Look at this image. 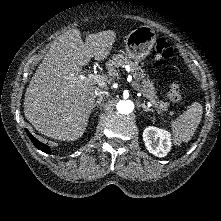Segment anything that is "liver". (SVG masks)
<instances>
[{"label":"liver","instance_id":"1","mask_svg":"<svg viewBox=\"0 0 221 221\" xmlns=\"http://www.w3.org/2000/svg\"><path fill=\"white\" fill-rule=\"evenodd\" d=\"M112 30L86 36L71 29L58 36L32 77L24 98V115L41 134L74 141L86 130L95 104L93 84L78 77L91 58L102 61L116 41Z\"/></svg>","mask_w":221,"mask_h":221}]
</instances>
